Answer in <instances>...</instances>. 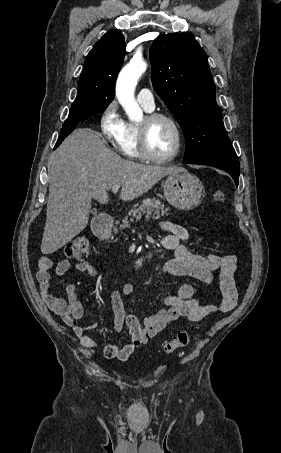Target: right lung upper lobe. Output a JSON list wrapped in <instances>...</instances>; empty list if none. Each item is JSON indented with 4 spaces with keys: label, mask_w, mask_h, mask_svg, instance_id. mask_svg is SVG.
<instances>
[{
    "label": "right lung upper lobe",
    "mask_w": 281,
    "mask_h": 453,
    "mask_svg": "<svg viewBox=\"0 0 281 453\" xmlns=\"http://www.w3.org/2000/svg\"><path fill=\"white\" fill-rule=\"evenodd\" d=\"M125 57V40L120 30L108 31L89 52L78 82L72 107L106 109L112 102L115 81Z\"/></svg>",
    "instance_id": "1"
}]
</instances>
